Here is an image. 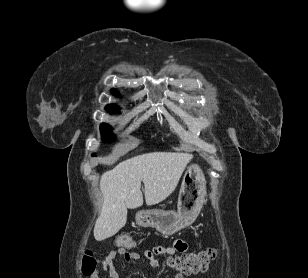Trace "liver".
Masks as SVG:
<instances>
[{
    "mask_svg": "<svg viewBox=\"0 0 308 278\" xmlns=\"http://www.w3.org/2000/svg\"><path fill=\"white\" fill-rule=\"evenodd\" d=\"M192 159L188 153L152 152L138 155L119 163L100 179L103 195L101 213L95 222L97 241L115 235L127 221V208L143 205L141 182L148 206L158 204L170 196Z\"/></svg>",
    "mask_w": 308,
    "mask_h": 278,
    "instance_id": "1",
    "label": "liver"
}]
</instances>
